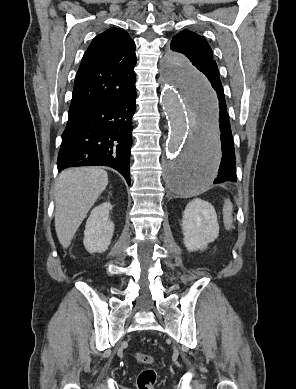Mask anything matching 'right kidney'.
<instances>
[{"label": "right kidney", "mask_w": 296, "mask_h": 389, "mask_svg": "<svg viewBox=\"0 0 296 389\" xmlns=\"http://www.w3.org/2000/svg\"><path fill=\"white\" fill-rule=\"evenodd\" d=\"M111 210L110 202H104L91 211L83 241L89 253H103L108 249L114 232V223L109 219Z\"/></svg>", "instance_id": "right-kidney-1"}]
</instances>
